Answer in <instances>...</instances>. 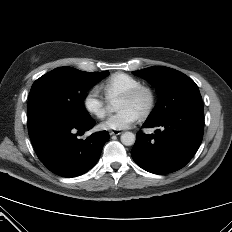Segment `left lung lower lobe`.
I'll return each instance as SVG.
<instances>
[{"label": "left lung lower lobe", "instance_id": "1", "mask_svg": "<svg viewBox=\"0 0 232 232\" xmlns=\"http://www.w3.org/2000/svg\"><path fill=\"white\" fill-rule=\"evenodd\" d=\"M163 127L155 134L137 133L131 151L135 163L154 174H167L184 167L198 150L204 132L202 102L179 108L159 120H146L143 127Z\"/></svg>", "mask_w": 232, "mask_h": 232}]
</instances>
